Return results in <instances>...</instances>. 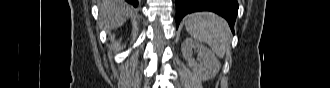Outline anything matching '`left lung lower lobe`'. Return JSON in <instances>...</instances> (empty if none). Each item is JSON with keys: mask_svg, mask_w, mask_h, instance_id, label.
<instances>
[{"mask_svg": "<svg viewBox=\"0 0 330 88\" xmlns=\"http://www.w3.org/2000/svg\"><path fill=\"white\" fill-rule=\"evenodd\" d=\"M212 11L224 17L234 34V23L238 13L237 0H176V29L188 13Z\"/></svg>", "mask_w": 330, "mask_h": 88, "instance_id": "obj_1", "label": "left lung lower lobe"}]
</instances>
